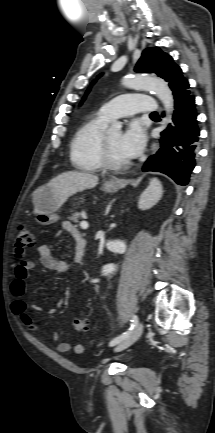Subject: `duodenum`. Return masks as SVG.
<instances>
[{"label":"duodenum","mask_w":215,"mask_h":433,"mask_svg":"<svg viewBox=\"0 0 215 433\" xmlns=\"http://www.w3.org/2000/svg\"><path fill=\"white\" fill-rule=\"evenodd\" d=\"M80 250H81V253H82L83 257H84L85 252H86V242H84V243L82 244Z\"/></svg>","instance_id":"duodenum-1"}]
</instances>
